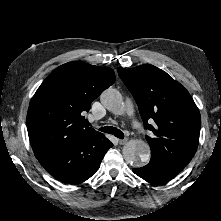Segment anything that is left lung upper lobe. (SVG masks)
Returning a JSON list of instances; mask_svg holds the SVG:
<instances>
[{
	"instance_id": "5c2ea615",
	"label": "left lung upper lobe",
	"mask_w": 221,
	"mask_h": 221,
	"mask_svg": "<svg viewBox=\"0 0 221 221\" xmlns=\"http://www.w3.org/2000/svg\"><path fill=\"white\" fill-rule=\"evenodd\" d=\"M117 70L138 105L144 127L153 133L146 136L151 158L183 169L197 150L201 127L200 112L191 95L153 65Z\"/></svg>"
}]
</instances>
